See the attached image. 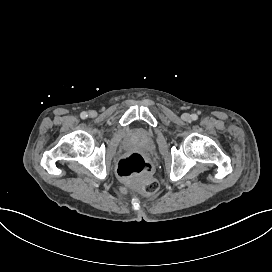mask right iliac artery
<instances>
[{"label":"right iliac artery","mask_w":272,"mask_h":272,"mask_svg":"<svg viewBox=\"0 0 272 272\" xmlns=\"http://www.w3.org/2000/svg\"><path fill=\"white\" fill-rule=\"evenodd\" d=\"M87 113L86 112H82L81 114H80V117L82 118V119H85V118H87Z\"/></svg>","instance_id":"right-iliac-artery-1"}]
</instances>
